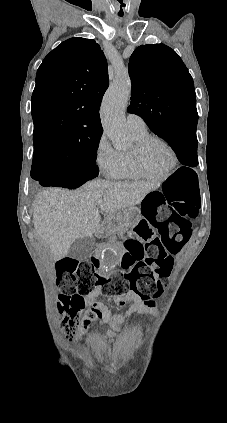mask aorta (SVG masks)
<instances>
[{
  "label": "aorta",
  "mask_w": 227,
  "mask_h": 423,
  "mask_svg": "<svg viewBox=\"0 0 227 423\" xmlns=\"http://www.w3.org/2000/svg\"><path fill=\"white\" fill-rule=\"evenodd\" d=\"M131 92L127 76H118L106 91L100 108L103 130L116 148H124L129 139L125 129L124 114ZM118 256L114 250H107L101 258V273L111 274L117 267Z\"/></svg>",
  "instance_id": "1"
}]
</instances>
